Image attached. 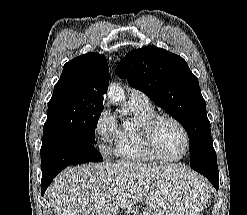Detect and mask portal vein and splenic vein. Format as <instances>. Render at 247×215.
Returning <instances> with one entry per match:
<instances>
[{
  "label": "portal vein and splenic vein",
  "mask_w": 247,
  "mask_h": 215,
  "mask_svg": "<svg viewBox=\"0 0 247 215\" xmlns=\"http://www.w3.org/2000/svg\"><path fill=\"white\" fill-rule=\"evenodd\" d=\"M111 194L112 195H115L116 194V191L115 190L111 191Z\"/></svg>",
  "instance_id": "18ae733b"
}]
</instances>
